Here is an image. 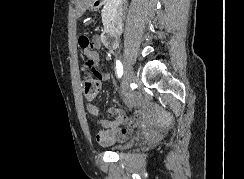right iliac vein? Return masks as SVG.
<instances>
[{
    "mask_svg": "<svg viewBox=\"0 0 244 179\" xmlns=\"http://www.w3.org/2000/svg\"><path fill=\"white\" fill-rule=\"evenodd\" d=\"M133 71L131 69V64L125 56L124 53V74L121 80V91L125 94L129 90V84L133 80Z\"/></svg>",
    "mask_w": 244,
    "mask_h": 179,
    "instance_id": "right-iliac-vein-1",
    "label": "right iliac vein"
}]
</instances>
